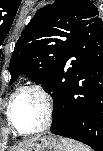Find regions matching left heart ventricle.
I'll use <instances>...</instances> for the list:
<instances>
[{
	"label": "left heart ventricle",
	"mask_w": 103,
	"mask_h": 151,
	"mask_svg": "<svg viewBox=\"0 0 103 151\" xmlns=\"http://www.w3.org/2000/svg\"><path fill=\"white\" fill-rule=\"evenodd\" d=\"M12 117L21 131L36 129L42 124L44 118L41 100L34 93L21 94L14 103Z\"/></svg>",
	"instance_id": "left-heart-ventricle-1"
}]
</instances>
